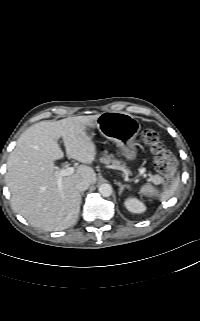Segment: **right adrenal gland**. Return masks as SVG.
Instances as JSON below:
<instances>
[{
	"label": "right adrenal gland",
	"instance_id": "obj_1",
	"mask_svg": "<svg viewBox=\"0 0 200 321\" xmlns=\"http://www.w3.org/2000/svg\"><path fill=\"white\" fill-rule=\"evenodd\" d=\"M82 196H83V193H81L80 197L82 198Z\"/></svg>",
	"mask_w": 200,
	"mask_h": 321
}]
</instances>
